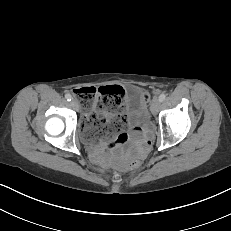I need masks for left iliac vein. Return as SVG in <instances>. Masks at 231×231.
Instances as JSON below:
<instances>
[{"instance_id":"1","label":"left iliac vein","mask_w":231,"mask_h":231,"mask_svg":"<svg viewBox=\"0 0 231 231\" xmlns=\"http://www.w3.org/2000/svg\"><path fill=\"white\" fill-rule=\"evenodd\" d=\"M160 100L155 98L151 104V112L153 115H156L160 109Z\"/></svg>"}]
</instances>
